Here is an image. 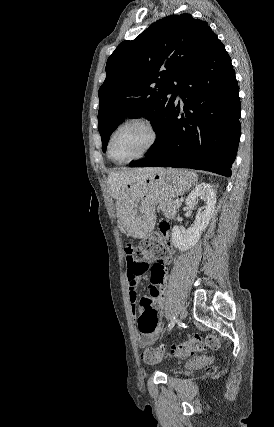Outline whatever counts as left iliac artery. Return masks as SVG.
I'll list each match as a JSON object with an SVG mask.
<instances>
[{"instance_id":"1","label":"left iliac artery","mask_w":274,"mask_h":427,"mask_svg":"<svg viewBox=\"0 0 274 427\" xmlns=\"http://www.w3.org/2000/svg\"><path fill=\"white\" fill-rule=\"evenodd\" d=\"M176 322H177V318L176 316H173L170 323L168 324V331H170L174 327Z\"/></svg>"}]
</instances>
